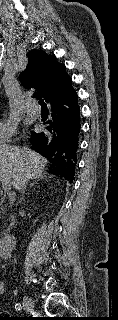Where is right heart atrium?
<instances>
[{
	"instance_id": "d8ad5b80",
	"label": "right heart atrium",
	"mask_w": 118,
	"mask_h": 320,
	"mask_svg": "<svg viewBox=\"0 0 118 320\" xmlns=\"http://www.w3.org/2000/svg\"><path fill=\"white\" fill-rule=\"evenodd\" d=\"M17 133V125L8 120H0V144L10 141Z\"/></svg>"
}]
</instances>
